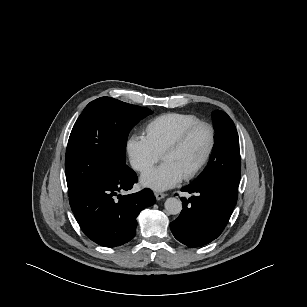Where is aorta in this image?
Wrapping results in <instances>:
<instances>
[{"label": "aorta", "instance_id": "aorta-1", "mask_svg": "<svg viewBox=\"0 0 307 307\" xmlns=\"http://www.w3.org/2000/svg\"><path fill=\"white\" fill-rule=\"evenodd\" d=\"M164 205L166 211L171 215H177L182 211V202L175 197L168 198Z\"/></svg>", "mask_w": 307, "mask_h": 307}]
</instances>
